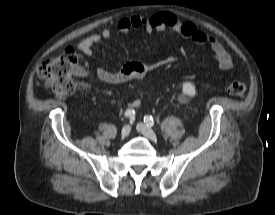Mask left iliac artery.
<instances>
[{
  "instance_id": "44dca946",
  "label": "left iliac artery",
  "mask_w": 275,
  "mask_h": 215,
  "mask_svg": "<svg viewBox=\"0 0 275 215\" xmlns=\"http://www.w3.org/2000/svg\"><path fill=\"white\" fill-rule=\"evenodd\" d=\"M144 122L149 127H152L154 125V119L152 116H148V115L144 116Z\"/></svg>"
}]
</instances>
